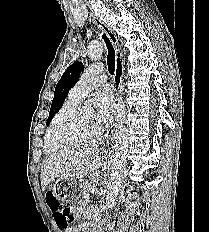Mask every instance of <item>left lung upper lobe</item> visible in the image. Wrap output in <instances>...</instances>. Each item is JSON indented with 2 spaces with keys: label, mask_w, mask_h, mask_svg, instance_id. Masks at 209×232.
Wrapping results in <instances>:
<instances>
[{
  "label": "left lung upper lobe",
  "mask_w": 209,
  "mask_h": 232,
  "mask_svg": "<svg viewBox=\"0 0 209 232\" xmlns=\"http://www.w3.org/2000/svg\"><path fill=\"white\" fill-rule=\"evenodd\" d=\"M84 65L82 62H75L70 65L62 75L56 85L54 98L49 112L48 121H50L59 109L63 106L69 90L77 83Z\"/></svg>",
  "instance_id": "left-lung-upper-lobe-1"
}]
</instances>
